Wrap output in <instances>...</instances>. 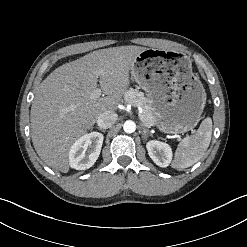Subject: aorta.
<instances>
[{
    "label": "aorta",
    "mask_w": 247,
    "mask_h": 247,
    "mask_svg": "<svg viewBox=\"0 0 247 247\" xmlns=\"http://www.w3.org/2000/svg\"><path fill=\"white\" fill-rule=\"evenodd\" d=\"M123 129L126 133H133L136 130V124L133 121L128 120L124 123Z\"/></svg>",
    "instance_id": "aorta-1"
}]
</instances>
